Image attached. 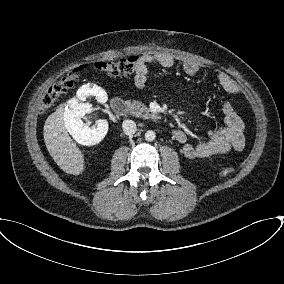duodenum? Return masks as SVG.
I'll use <instances>...</instances> for the list:
<instances>
[{"instance_id": "obj_1", "label": "duodenum", "mask_w": 284, "mask_h": 284, "mask_svg": "<svg viewBox=\"0 0 284 284\" xmlns=\"http://www.w3.org/2000/svg\"><path fill=\"white\" fill-rule=\"evenodd\" d=\"M110 106L112 111L120 116H125L128 114L129 108L127 103L121 98H113L110 101Z\"/></svg>"}]
</instances>
